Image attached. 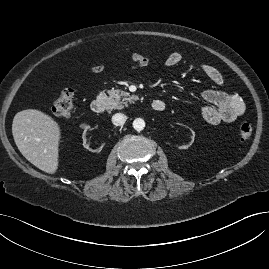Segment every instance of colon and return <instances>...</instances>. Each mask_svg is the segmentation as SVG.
<instances>
[{
    "mask_svg": "<svg viewBox=\"0 0 269 269\" xmlns=\"http://www.w3.org/2000/svg\"><path fill=\"white\" fill-rule=\"evenodd\" d=\"M74 109V91L70 88L63 89L56 97L52 111L59 117H68ZM253 127L249 122H243L239 127L241 140H247L252 135Z\"/></svg>",
    "mask_w": 269,
    "mask_h": 269,
    "instance_id": "5ec220e1",
    "label": "colon"
}]
</instances>
